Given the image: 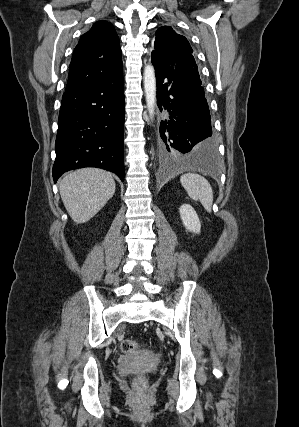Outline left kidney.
Here are the masks:
<instances>
[{"label": "left kidney", "mask_w": 299, "mask_h": 427, "mask_svg": "<svg viewBox=\"0 0 299 427\" xmlns=\"http://www.w3.org/2000/svg\"><path fill=\"white\" fill-rule=\"evenodd\" d=\"M180 217L185 228L193 233L199 234L201 223L194 208L189 204H183L179 208Z\"/></svg>", "instance_id": "left-kidney-1"}]
</instances>
